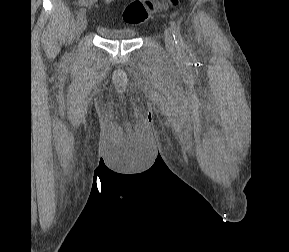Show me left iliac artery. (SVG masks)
Wrapping results in <instances>:
<instances>
[{
	"mask_svg": "<svg viewBox=\"0 0 289 252\" xmlns=\"http://www.w3.org/2000/svg\"><path fill=\"white\" fill-rule=\"evenodd\" d=\"M170 26H171V31H172L176 46L178 48L183 47L184 43H183V38L180 32V29L177 27L174 21L170 22Z\"/></svg>",
	"mask_w": 289,
	"mask_h": 252,
	"instance_id": "1",
	"label": "left iliac artery"
}]
</instances>
